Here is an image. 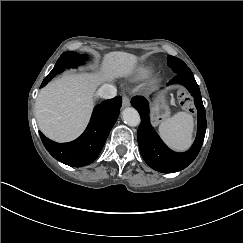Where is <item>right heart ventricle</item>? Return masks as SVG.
Here are the masks:
<instances>
[{
  "label": "right heart ventricle",
  "mask_w": 243,
  "mask_h": 243,
  "mask_svg": "<svg viewBox=\"0 0 243 243\" xmlns=\"http://www.w3.org/2000/svg\"><path fill=\"white\" fill-rule=\"evenodd\" d=\"M153 65L142 64L134 67L128 75V79L133 82H139L148 78L153 72Z\"/></svg>",
  "instance_id": "e07e8e85"
}]
</instances>
